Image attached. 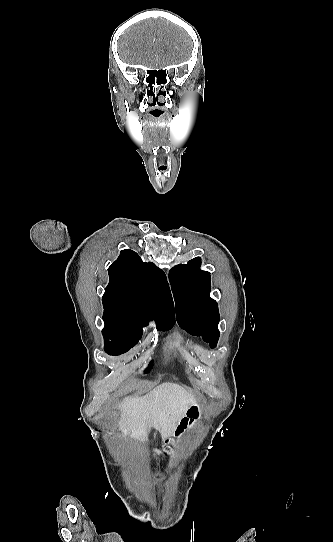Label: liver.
<instances>
[{"label":"liver","instance_id":"liver-1","mask_svg":"<svg viewBox=\"0 0 333 542\" xmlns=\"http://www.w3.org/2000/svg\"><path fill=\"white\" fill-rule=\"evenodd\" d=\"M193 404V392L170 382L160 384L142 398H124L119 404V430L123 436L147 442V432L149 428H154L160 432L162 440H166Z\"/></svg>","mask_w":333,"mask_h":542}]
</instances>
